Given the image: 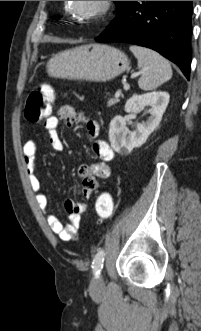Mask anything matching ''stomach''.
<instances>
[{"instance_id": "0dacf381", "label": "stomach", "mask_w": 201, "mask_h": 331, "mask_svg": "<svg viewBox=\"0 0 201 331\" xmlns=\"http://www.w3.org/2000/svg\"><path fill=\"white\" fill-rule=\"evenodd\" d=\"M129 68L121 50L106 44H86L59 52L47 63V72L56 78L106 82Z\"/></svg>"}]
</instances>
